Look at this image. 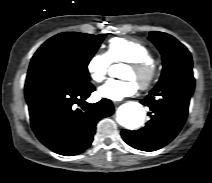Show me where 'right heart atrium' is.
<instances>
[{
  "label": "right heart atrium",
  "mask_w": 212,
  "mask_h": 183,
  "mask_svg": "<svg viewBox=\"0 0 212 183\" xmlns=\"http://www.w3.org/2000/svg\"><path fill=\"white\" fill-rule=\"evenodd\" d=\"M111 63L106 53H95L87 63V72L90 78L96 83L106 80Z\"/></svg>",
  "instance_id": "1"
}]
</instances>
